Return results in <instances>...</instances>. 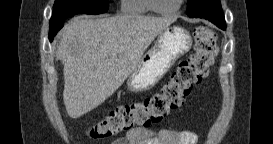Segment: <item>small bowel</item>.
<instances>
[{
    "label": "small bowel",
    "instance_id": "obj_1",
    "mask_svg": "<svg viewBox=\"0 0 273 144\" xmlns=\"http://www.w3.org/2000/svg\"><path fill=\"white\" fill-rule=\"evenodd\" d=\"M198 135L188 130L163 128L151 130L136 128L128 131L124 137L116 139L113 144H196Z\"/></svg>",
    "mask_w": 273,
    "mask_h": 144
}]
</instances>
